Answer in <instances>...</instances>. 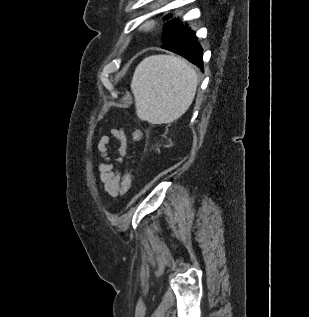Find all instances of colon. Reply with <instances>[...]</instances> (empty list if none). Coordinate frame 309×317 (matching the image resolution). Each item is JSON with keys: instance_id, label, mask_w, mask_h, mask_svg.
<instances>
[{"instance_id": "1", "label": "colon", "mask_w": 309, "mask_h": 317, "mask_svg": "<svg viewBox=\"0 0 309 317\" xmlns=\"http://www.w3.org/2000/svg\"><path fill=\"white\" fill-rule=\"evenodd\" d=\"M142 138V132L141 130H135L132 133V140L134 142H138L140 141ZM131 182H132V178H131V174L129 171H127L122 179V193L123 194H127L131 188Z\"/></svg>"}]
</instances>
